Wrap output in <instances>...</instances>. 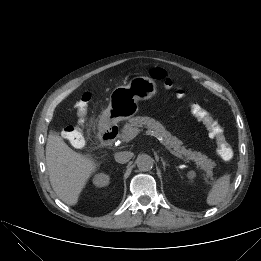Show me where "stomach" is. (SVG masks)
<instances>
[{
	"mask_svg": "<svg viewBox=\"0 0 261 261\" xmlns=\"http://www.w3.org/2000/svg\"><path fill=\"white\" fill-rule=\"evenodd\" d=\"M156 93L153 79L145 76L132 78L127 85L113 89L109 105L100 115V123L110 126L131 118L138 112V101L151 99Z\"/></svg>",
	"mask_w": 261,
	"mask_h": 261,
	"instance_id": "0dacf381",
	"label": "stomach"
}]
</instances>
